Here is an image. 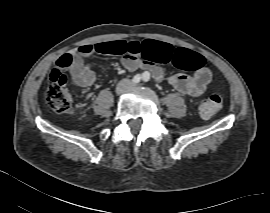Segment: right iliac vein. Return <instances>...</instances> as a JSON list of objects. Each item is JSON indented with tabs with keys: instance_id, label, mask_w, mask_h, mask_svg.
<instances>
[{
	"instance_id": "obj_1",
	"label": "right iliac vein",
	"mask_w": 270,
	"mask_h": 213,
	"mask_svg": "<svg viewBox=\"0 0 270 213\" xmlns=\"http://www.w3.org/2000/svg\"><path fill=\"white\" fill-rule=\"evenodd\" d=\"M130 88V82L128 80H123L116 88V93L118 95L123 94Z\"/></svg>"
}]
</instances>
